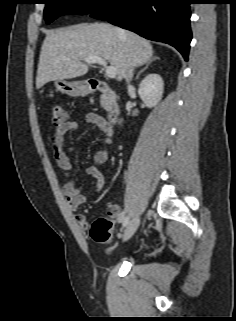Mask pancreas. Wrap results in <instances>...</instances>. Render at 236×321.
Wrapping results in <instances>:
<instances>
[{"label": "pancreas", "mask_w": 236, "mask_h": 321, "mask_svg": "<svg viewBox=\"0 0 236 321\" xmlns=\"http://www.w3.org/2000/svg\"><path fill=\"white\" fill-rule=\"evenodd\" d=\"M101 106L107 111L110 109V104L105 96L101 97Z\"/></svg>", "instance_id": "obj_1"}]
</instances>
